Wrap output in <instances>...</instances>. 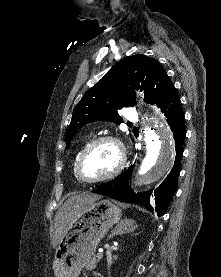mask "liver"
<instances>
[{"label":"liver","mask_w":221,"mask_h":277,"mask_svg":"<svg viewBox=\"0 0 221 277\" xmlns=\"http://www.w3.org/2000/svg\"><path fill=\"white\" fill-rule=\"evenodd\" d=\"M100 196L92 193H82L71 196L57 211L54 218V233L51 235L53 248H57L59 242L66 235L71 222L88 205L98 200Z\"/></svg>","instance_id":"obj_1"}]
</instances>
